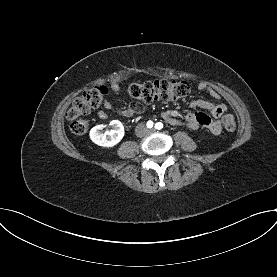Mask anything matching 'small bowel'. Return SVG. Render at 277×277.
I'll return each mask as SVG.
<instances>
[{
	"mask_svg": "<svg viewBox=\"0 0 277 277\" xmlns=\"http://www.w3.org/2000/svg\"><path fill=\"white\" fill-rule=\"evenodd\" d=\"M109 88L114 94H118L120 92V86L117 83H112ZM198 89L208 93L211 97H213L216 100L220 99V94L205 82L199 83ZM104 107L107 110L114 109L113 104L108 100L104 101ZM190 108H199L207 110L214 116L215 119H212L205 113L197 111L183 113L179 110H168L162 112L161 116L163 119L174 125L184 124L191 129H198L200 127H203L215 135L219 134L222 131L220 119L223 116V114L227 111L226 104L218 101H207L198 99L190 102ZM143 111L144 106L142 104L133 102L127 108L117 109L116 114L124 117H134L142 113ZM98 116L101 119L109 118V115L103 110H100L98 112Z\"/></svg>",
	"mask_w": 277,
	"mask_h": 277,
	"instance_id": "c3829d8e",
	"label": "small bowel"
}]
</instances>
